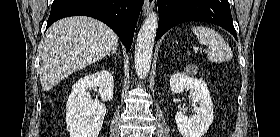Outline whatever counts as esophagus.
I'll list each match as a JSON object with an SVG mask.
<instances>
[{"label":"esophagus","instance_id":"1","mask_svg":"<svg viewBox=\"0 0 280 137\" xmlns=\"http://www.w3.org/2000/svg\"><path fill=\"white\" fill-rule=\"evenodd\" d=\"M155 5V0H145L144 6L142 9V15L147 16L148 14L151 13Z\"/></svg>","mask_w":280,"mask_h":137}]
</instances>
